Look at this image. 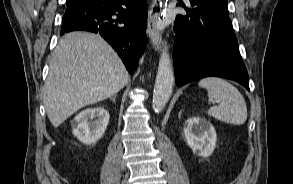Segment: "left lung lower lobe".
Returning a JSON list of instances; mask_svg holds the SVG:
<instances>
[{"instance_id":"0a47b994","label":"left lung lower lobe","mask_w":293,"mask_h":184,"mask_svg":"<svg viewBox=\"0 0 293 184\" xmlns=\"http://www.w3.org/2000/svg\"><path fill=\"white\" fill-rule=\"evenodd\" d=\"M177 15L173 61L178 86L203 77L235 80L249 90L246 67L228 16V8L209 0H190Z\"/></svg>"}]
</instances>
